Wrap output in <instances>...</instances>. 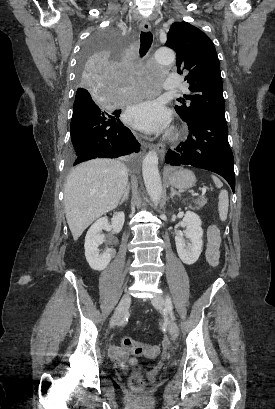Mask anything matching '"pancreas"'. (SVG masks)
I'll return each instance as SVG.
<instances>
[{
	"label": "pancreas",
	"mask_w": 275,
	"mask_h": 409,
	"mask_svg": "<svg viewBox=\"0 0 275 409\" xmlns=\"http://www.w3.org/2000/svg\"><path fill=\"white\" fill-rule=\"evenodd\" d=\"M206 202H207V198H205V196H202V198H198L197 205H199V207H204V205H206Z\"/></svg>",
	"instance_id": "cf45deb5"
}]
</instances>
